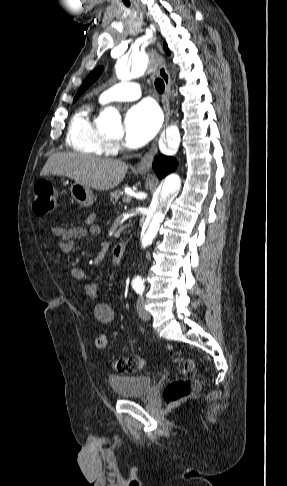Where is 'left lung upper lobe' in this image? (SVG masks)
Returning <instances> with one entry per match:
<instances>
[{
  "instance_id": "obj_1",
  "label": "left lung upper lobe",
  "mask_w": 287,
  "mask_h": 486,
  "mask_svg": "<svg viewBox=\"0 0 287 486\" xmlns=\"http://www.w3.org/2000/svg\"><path fill=\"white\" fill-rule=\"evenodd\" d=\"M164 50L167 54H170V51L166 44H164ZM103 71V67H97L94 69L84 80L80 88L78 89L76 96L74 98V102L78 99V97L101 75Z\"/></svg>"
}]
</instances>
